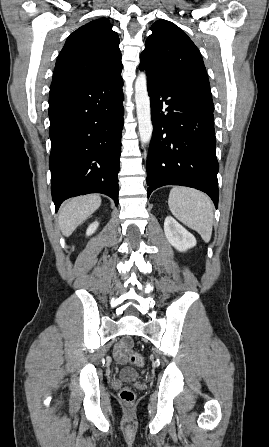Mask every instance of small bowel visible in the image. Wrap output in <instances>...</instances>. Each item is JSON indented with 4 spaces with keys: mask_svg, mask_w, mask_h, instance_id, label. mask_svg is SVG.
<instances>
[{
    "mask_svg": "<svg viewBox=\"0 0 269 447\" xmlns=\"http://www.w3.org/2000/svg\"><path fill=\"white\" fill-rule=\"evenodd\" d=\"M127 350V347L121 343L119 347L116 348L115 350V356L116 358L120 361V362H124L125 361V352Z\"/></svg>",
    "mask_w": 269,
    "mask_h": 447,
    "instance_id": "small-bowel-1",
    "label": "small bowel"
}]
</instances>
